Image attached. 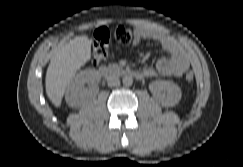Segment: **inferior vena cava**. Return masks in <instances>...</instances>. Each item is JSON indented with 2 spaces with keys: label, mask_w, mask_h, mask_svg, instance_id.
I'll list each match as a JSON object with an SVG mask.
<instances>
[{
  "label": "inferior vena cava",
  "mask_w": 243,
  "mask_h": 167,
  "mask_svg": "<svg viewBox=\"0 0 243 167\" xmlns=\"http://www.w3.org/2000/svg\"><path fill=\"white\" fill-rule=\"evenodd\" d=\"M108 86L113 87V86H118L120 85V80L116 76H111L107 79Z\"/></svg>",
  "instance_id": "obj_1"
}]
</instances>
